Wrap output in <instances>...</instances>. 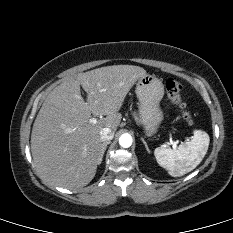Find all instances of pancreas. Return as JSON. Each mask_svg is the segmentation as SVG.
Masks as SVG:
<instances>
[{"instance_id":"cf45deb5","label":"pancreas","mask_w":233,"mask_h":233,"mask_svg":"<svg viewBox=\"0 0 233 233\" xmlns=\"http://www.w3.org/2000/svg\"><path fill=\"white\" fill-rule=\"evenodd\" d=\"M134 117H135V119L137 120V117H136V115L134 114Z\"/></svg>"}]
</instances>
